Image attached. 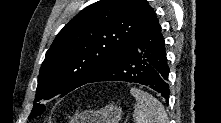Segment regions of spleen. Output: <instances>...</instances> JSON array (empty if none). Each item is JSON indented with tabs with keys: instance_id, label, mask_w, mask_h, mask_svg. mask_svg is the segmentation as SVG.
I'll return each mask as SVG.
<instances>
[{
	"instance_id": "spleen-1",
	"label": "spleen",
	"mask_w": 221,
	"mask_h": 123,
	"mask_svg": "<svg viewBox=\"0 0 221 123\" xmlns=\"http://www.w3.org/2000/svg\"><path fill=\"white\" fill-rule=\"evenodd\" d=\"M130 93L136 99L133 118L135 123H167L164 106L153 96L132 87Z\"/></svg>"
}]
</instances>
